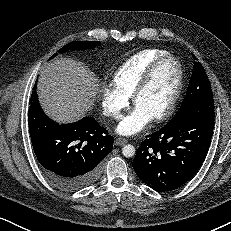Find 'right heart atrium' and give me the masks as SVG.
Segmentation results:
<instances>
[{
    "label": "right heart atrium",
    "mask_w": 231,
    "mask_h": 231,
    "mask_svg": "<svg viewBox=\"0 0 231 231\" xmlns=\"http://www.w3.org/2000/svg\"><path fill=\"white\" fill-rule=\"evenodd\" d=\"M101 102L107 117L119 119L129 105V97L116 86L107 84L101 88Z\"/></svg>",
    "instance_id": "d8ad5b80"
}]
</instances>
